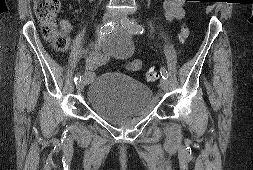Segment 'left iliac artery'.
Returning <instances> with one entry per match:
<instances>
[{"label": "left iliac artery", "instance_id": "44dca946", "mask_svg": "<svg viewBox=\"0 0 253 170\" xmlns=\"http://www.w3.org/2000/svg\"><path fill=\"white\" fill-rule=\"evenodd\" d=\"M143 31H144V28L141 25H139L137 23H132V33L142 34ZM160 73H161V76H162L163 79L168 78V72L164 67L161 68Z\"/></svg>", "mask_w": 253, "mask_h": 170}]
</instances>
